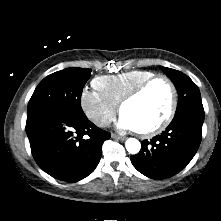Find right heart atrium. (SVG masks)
<instances>
[{
  "label": "right heart atrium",
  "instance_id": "right-heart-atrium-1",
  "mask_svg": "<svg viewBox=\"0 0 221 221\" xmlns=\"http://www.w3.org/2000/svg\"><path fill=\"white\" fill-rule=\"evenodd\" d=\"M80 103L87 118L98 127L107 126L117 111V105L96 89H84Z\"/></svg>",
  "mask_w": 221,
  "mask_h": 221
}]
</instances>
